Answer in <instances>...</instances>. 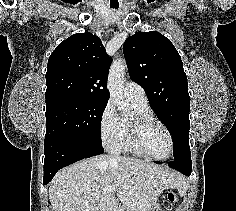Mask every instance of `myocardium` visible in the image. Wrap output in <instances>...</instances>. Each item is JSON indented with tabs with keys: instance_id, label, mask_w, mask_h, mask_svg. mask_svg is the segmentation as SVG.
I'll use <instances>...</instances> for the list:
<instances>
[{
	"instance_id": "obj_1",
	"label": "myocardium",
	"mask_w": 236,
	"mask_h": 211,
	"mask_svg": "<svg viewBox=\"0 0 236 211\" xmlns=\"http://www.w3.org/2000/svg\"><path fill=\"white\" fill-rule=\"evenodd\" d=\"M152 124H157L161 126L166 132L169 138V151L164 156H156L144 151L140 144L141 133L145 128ZM127 141L129 146L134 150V152L142 157L156 159V160H165L171 156L174 150V140L171 131L169 128L159 119L154 116L148 115L143 112H134L130 118L127 120Z\"/></svg>"
}]
</instances>
